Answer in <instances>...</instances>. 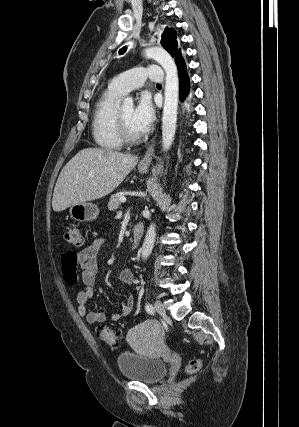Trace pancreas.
I'll list each match as a JSON object with an SVG mask.
<instances>
[{
    "instance_id": "cf45deb5",
    "label": "pancreas",
    "mask_w": 299,
    "mask_h": 427,
    "mask_svg": "<svg viewBox=\"0 0 299 427\" xmlns=\"http://www.w3.org/2000/svg\"><path fill=\"white\" fill-rule=\"evenodd\" d=\"M120 197H122L120 194H114L110 197L108 202V209L110 211H115L117 208H119L121 205Z\"/></svg>"
}]
</instances>
